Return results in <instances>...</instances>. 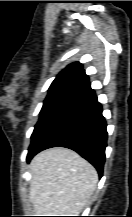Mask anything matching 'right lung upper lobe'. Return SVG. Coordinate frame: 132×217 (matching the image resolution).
<instances>
[{"label":"right lung upper lobe","instance_id":"cb5924a9","mask_svg":"<svg viewBox=\"0 0 132 217\" xmlns=\"http://www.w3.org/2000/svg\"><path fill=\"white\" fill-rule=\"evenodd\" d=\"M88 76L79 62L69 64L52 82L49 93H67L77 98L93 93Z\"/></svg>","mask_w":132,"mask_h":217}]
</instances>
